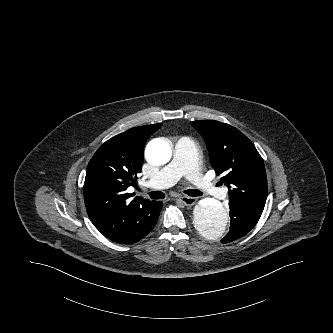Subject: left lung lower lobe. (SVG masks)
<instances>
[{
  "mask_svg": "<svg viewBox=\"0 0 333 333\" xmlns=\"http://www.w3.org/2000/svg\"><path fill=\"white\" fill-rule=\"evenodd\" d=\"M230 206V231L221 240L222 243H229L246 235L258 222L261 214L243 209L236 205Z\"/></svg>",
  "mask_w": 333,
  "mask_h": 333,
  "instance_id": "0a47b994",
  "label": "left lung lower lobe"
}]
</instances>
